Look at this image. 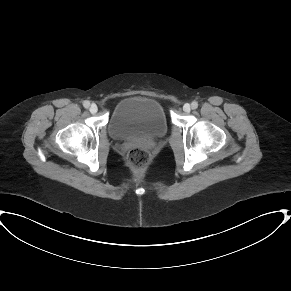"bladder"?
<instances>
[{"label":"bladder","instance_id":"1","mask_svg":"<svg viewBox=\"0 0 291 291\" xmlns=\"http://www.w3.org/2000/svg\"><path fill=\"white\" fill-rule=\"evenodd\" d=\"M167 127L165 112L155 99L132 95L115 106L108 123V133L121 142L153 141L162 138Z\"/></svg>","mask_w":291,"mask_h":291}]
</instances>
